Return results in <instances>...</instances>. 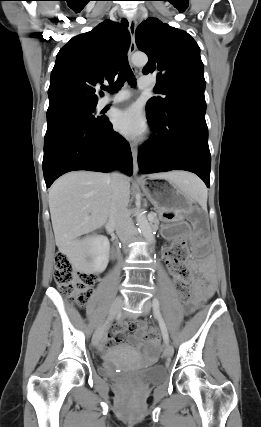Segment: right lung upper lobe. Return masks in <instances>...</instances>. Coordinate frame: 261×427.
Masks as SVG:
<instances>
[{"instance_id":"cb5924a9","label":"right lung upper lobe","mask_w":261,"mask_h":427,"mask_svg":"<svg viewBox=\"0 0 261 427\" xmlns=\"http://www.w3.org/2000/svg\"><path fill=\"white\" fill-rule=\"evenodd\" d=\"M130 44L129 32L110 20L73 37L57 54L48 90L49 108L96 105V89L111 84Z\"/></svg>"}]
</instances>
